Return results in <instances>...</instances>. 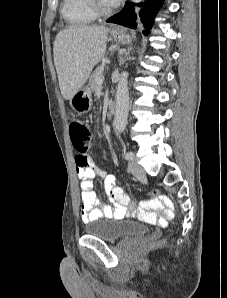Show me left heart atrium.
Segmentation results:
<instances>
[{
  "instance_id": "obj_1",
  "label": "left heart atrium",
  "mask_w": 227,
  "mask_h": 298,
  "mask_svg": "<svg viewBox=\"0 0 227 298\" xmlns=\"http://www.w3.org/2000/svg\"><path fill=\"white\" fill-rule=\"evenodd\" d=\"M122 0H104L108 6H117Z\"/></svg>"
}]
</instances>
